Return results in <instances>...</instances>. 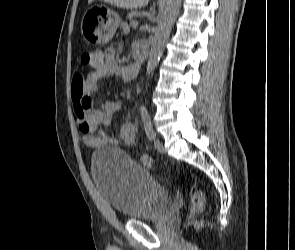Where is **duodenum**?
Segmentation results:
<instances>
[{
    "instance_id": "410a0bca",
    "label": "duodenum",
    "mask_w": 295,
    "mask_h": 250,
    "mask_svg": "<svg viewBox=\"0 0 295 250\" xmlns=\"http://www.w3.org/2000/svg\"><path fill=\"white\" fill-rule=\"evenodd\" d=\"M134 55H135L137 68H139L146 59L147 50L145 47H135Z\"/></svg>"
}]
</instances>
